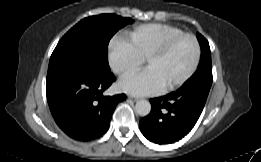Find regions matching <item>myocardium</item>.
Returning a JSON list of instances; mask_svg holds the SVG:
<instances>
[{"mask_svg":"<svg viewBox=\"0 0 261 162\" xmlns=\"http://www.w3.org/2000/svg\"><path fill=\"white\" fill-rule=\"evenodd\" d=\"M186 37L190 38L193 41L194 47H195V56H194V60H193L192 66L187 71V73L185 75H183L180 79H178L174 83H171V84H169L167 86H164L162 90L165 91V92L172 91V90H175V89L179 88L184 83H186L194 75V73L196 72V70H197V68L199 66V63H200V58H201V47H200V43H199L197 37L194 34L183 33V32L180 33V34H177L175 36H172V37L168 38L167 40H165L157 48L152 50L147 55V57L145 58V63L147 64L151 59L160 57V56L164 55L165 53H167L168 50L177 41H179L182 38H186Z\"/></svg>","mask_w":261,"mask_h":162,"instance_id":"f54148a6","label":"myocardium"}]
</instances>
